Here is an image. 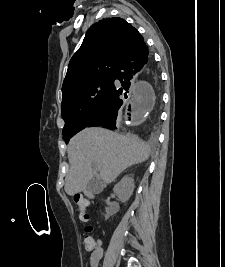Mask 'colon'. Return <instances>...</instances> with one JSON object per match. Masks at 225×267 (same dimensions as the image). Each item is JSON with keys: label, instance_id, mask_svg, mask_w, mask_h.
<instances>
[{"label": "colon", "instance_id": "obj_1", "mask_svg": "<svg viewBox=\"0 0 225 267\" xmlns=\"http://www.w3.org/2000/svg\"><path fill=\"white\" fill-rule=\"evenodd\" d=\"M77 203L80 207V214H79L80 220L83 222H88L89 215L85 211L86 201L83 198L79 197L77 199ZM92 229L93 228L90 225L85 227V232L87 233V235L84 237L82 241V245H83V248L87 251L93 250L96 245L94 238L90 235V233L92 232Z\"/></svg>", "mask_w": 225, "mask_h": 267}]
</instances>
